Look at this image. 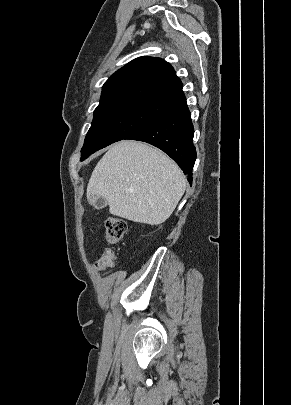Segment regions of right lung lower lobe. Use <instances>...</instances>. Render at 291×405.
<instances>
[{"label": "right lung lower lobe", "instance_id": "98d812e1", "mask_svg": "<svg viewBox=\"0 0 291 405\" xmlns=\"http://www.w3.org/2000/svg\"><path fill=\"white\" fill-rule=\"evenodd\" d=\"M193 134L191 114L183 95L161 115L126 139L147 142L164 151L179 165L191 183L196 160Z\"/></svg>", "mask_w": 291, "mask_h": 405}]
</instances>
